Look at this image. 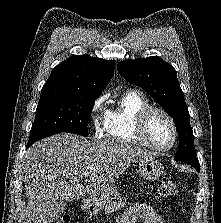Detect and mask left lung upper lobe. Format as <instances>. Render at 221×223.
Segmentation results:
<instances>
[{
	"label": "left lung upper lobe",
	"mask_w": 221,
	"mask_h": 223,
	"mask_svg": "<svg viewBox=\"0 0 221 223\" xmlns=\"http://www.w3.org/2000/svg\"><path fill=\"white\" fill-rule=\"evenodd\" d=\"M121 76L144 89L173 118L179 137L174 157L199 167L190 115L173 66L158 56L124 60L117 65Z\"/></svg>",
	"instance_id": "5c2ea615"
}]
</instances>
